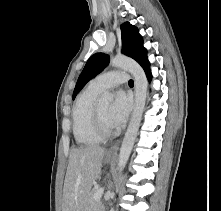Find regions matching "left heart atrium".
Wrapping results in <instances>:
<instances>
[{
  "label": "left heart atrium",
  "mask_w": 221,
  "mask_h": 211,
  "mask_svg": "<svg viewBox=\"0 0 221 211\" xmlns=\"http://www.w3.org/2000/svg\"><path fill=\"white\" fill-rule=\"evenodd\" d=\"M131 106L132 102L128 94L124 91L115 93L108 113L109 122L113 128L118 129L125 124L131 111Z\"/></svg>",
  "instance_id": "1"
}]
</instances>
